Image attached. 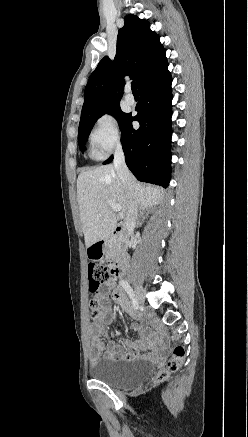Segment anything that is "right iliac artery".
I'll return each mask as SVG.
<instances>
[{
	"mask_svg": "<svg viewBox=\"0 0 248 437\" xmlns=\"http://www.w3.org/2000/svg\"><path fill=\"white\" fill-rule=\"evenodd\" d=\"M120 285L122 286V288L127 292V294L129 295V297H130V299H131V301H132V304H133V307H134V309H138V302H137V300H136V298H135V295H134V292H133V290H132V288H131V286L125 281V280H120Z\"/></svg>",
	"mask_w": 248,
	"mask_h": 437,
	"instance_id": "right-iliac-artery-1",
	"label": "right iliac artery"
}]
</instances>
